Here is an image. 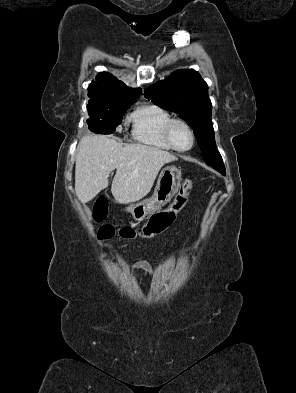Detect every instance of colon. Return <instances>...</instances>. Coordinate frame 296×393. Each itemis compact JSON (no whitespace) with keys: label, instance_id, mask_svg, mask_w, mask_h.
Instances as JSON below:
<instances>
[{"label":"colon","instance_id":"obj_1","mask_svg":"<svg viewBox=\"0 0 296 393\" xmlns=\"http://www.w3.org/2000/svg\"><path fill=\"white\" fill-rule=\"evenodd\" d=\"M193 190L194 183L191 180H185L175 202L168 209L153 214L143 226L139 228L128 226L116 229L113 226L104 225L99 228L98 237L100 239H110L117 235L126 240L152 238L162 233L175 221L177 213L183 208ZM106 214V202L99 201L94 209V219L102 221Z\"/></svg>","mask_w":296,"mask_h":393}]
</instances>
